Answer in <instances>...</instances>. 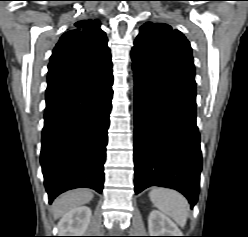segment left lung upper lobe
I'll use <instances>...</instances> for the list:
<instances>
[{"label": "left lung upper lobe", "instance_id": "obj_1", "mask_svg": "<svg viewBox=\"0 0 248 237\" xmlns=\"http://www.w3.org/2000/svg\"><path fill=\"white\" fill-rule=\"evenodd\" d=\"M133 65L172 86L196 89L189 41L164 23H145L131 51Z\"/></svg>", "mask_w": 248, "mask_h": 237}]
</instances>
